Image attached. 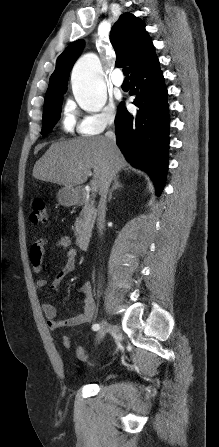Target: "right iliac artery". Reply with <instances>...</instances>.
Wrapping results in <instances>:
<instances>
[{"mask_svg":"<svg viewBox=\"0 0 219 447\" xmlns=\"http://www.w3.org/2000/svg\"><path fill=\"white\" fill-rule=\"evenodd\" d=\"M99 328H100L99 324H94V325L92 326V329H93L94 331H97Z\"/></svg>","mask_w":219,"mask_h":447,"instance_id":"obj_1","label":"right iliac artery"}]
</instances>
